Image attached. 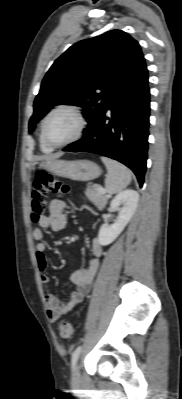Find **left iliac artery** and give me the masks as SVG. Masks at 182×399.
I'll list each match as a JSON object with an SVG mask.
<instances>
[{
    "label": "left iliac artery",
    "mask_w": 182,
    "mask_h": 399,
    "mask_svg": "<svg viewBox=\"0 0 182 399\" xmlns=\"http://www.w3.org/2000/svg\"><path fill=\"white\" fill-rule=\"evenodd\" d=\"M80 352H81V346H78V347L74 350V352L72 353V359H71L72 368H74V366H75V364H76V362H77V360H78V357H79V355H80Z\"/></svg>",
    "instance_id": "1"
}]
</instances>
